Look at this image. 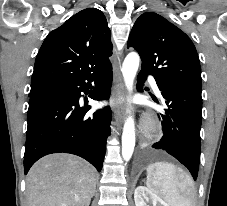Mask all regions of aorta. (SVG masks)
<instances>
[{"instance_id":"obj_1","label":"aorta","mask_w":227,"mask_h":206,"mask_svg":"<svg viewBox=\"0 0 227 206\" xmlns=\"http://www.w3.org/2000/svg\"><path fill=\"white\" fill-rule=\"evenodd\" d=\"M140 57L136 52L129 53L122 64V75L127 90L133 91V82L138 71ZM130 113V111L128 110ZM135 147V122L132 115H129L124 123L122 134V156L129 161Z\"/></svg>"}]
</instances>
